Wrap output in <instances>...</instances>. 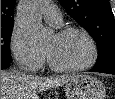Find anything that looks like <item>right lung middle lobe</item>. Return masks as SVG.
Here are the masks:
<instances>
[{"instance_id": "dd1d6c3e", "label": "right lung middle lobe", "mask_w": 115, "mask_h": 99, "mask_svg": "<svg viewBox=\"0 0 115 99\" xmlns=\"http://www.w3.org/2000/svg\"><path fill=\"white\" fill-rule=\"evenodd\" d=\"M13 26H1V62L11 63L10 39Z\"/></svg>"}]
</instances>
